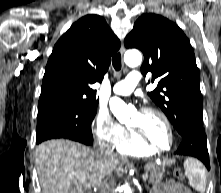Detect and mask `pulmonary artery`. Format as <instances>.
<instances>
[{"label":"pulmonary artery","instance_id":"pulmonary-artery-1","mask_svg":"<svg viewBox=\"0 0 221 193\" xmlns=\"http://www.w3.org/2000/svg\"><path fill=\"white\" fill-rule=\"evenodd\" d=\"M140 79V73L138 71H132L125 77L124 80L116 83L113 86L112 91L120 95H129L134 91Z\"/></svg>","mask_w":221,"mask_h":193}]
</instances>
